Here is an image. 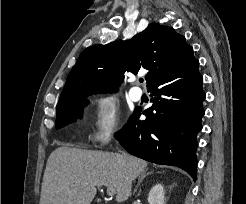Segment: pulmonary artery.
I'll return each mask as SVG.
<instances>
[{
  "mask_svg": "<svg viewBox=\"0 0 246 204\" xmlns=\"http://www.w3.org/2000/svg\"><path fill=\"white\" fill-rule=\"evenodd\" d=\"M142 91L139 87H133L129 91V96L133 101H140L142 98Z\"/></svg>",
  "mask_w": 246,
  "mask_h": 204,
  "instance_id": "e3ab8cb5",
  "label": "pulmonary artery"
}]
</instances>
